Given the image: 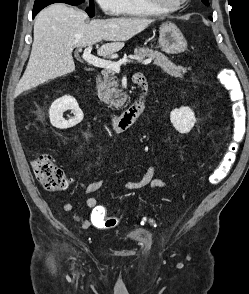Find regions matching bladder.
<instances>
[{
  "mask_svg": "<svg viewBox=\"0 0 249 294\" xmlns=\"http://www.w3.org/2000/svg\"><path fill=\"white\" fill-rule=\"evenodd\" d=\"M126 238L130 242L140 243V242L147 241L149 238V234L146 231L135 229L131 231L130 233H128Z\"/></svg>",
  "mask_w": 249,
  "mask_h": 294,
  "instance_id": "obj_1",
  "label": "bladder"
}]
</instances>
